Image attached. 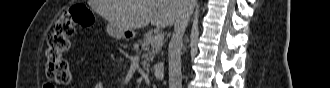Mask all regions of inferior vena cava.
Here are the masks:
<instances>
[{
    "instance_id": "inferior-vena-cava-1",
    "label": "inferior vena cava",
    "mask_w": 330,
    "mask_h": 88,
    "mask_svg": "<svg viewBox=\"0 0 330 88\" xmlns=\"http://www.w3.org/2000/svg\"><path fill=\"white\" fill-rule=\"evenodd\" d=\"M182 9L174 23V32L169 43V88H181V53L183 47V36L192 14V7L188 4L190 0H180Z\"/></svg>"
}]
</instances>
